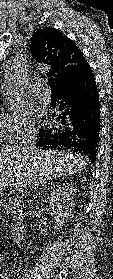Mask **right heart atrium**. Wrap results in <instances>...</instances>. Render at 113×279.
Segmentation results:
<instances>
[{
  "mask_svg": "<svg viewBox=\"0 0 113 279\" xmlns=\"http://www.w3.org/2000/svg\"><path fill=\"white\" fill-rule=\"evenodd\" d=\"M9 139L19 141L35 133L33 114L29 109H18L5 117Z\"/></svg>",
  "mask_w": 113,
  "mask_h": 279,
  "instance_id": "1",
  "label": "right heart atrium"
}]
</instances>
